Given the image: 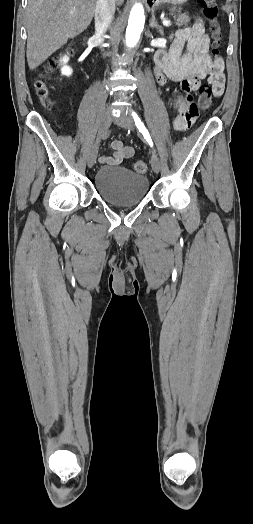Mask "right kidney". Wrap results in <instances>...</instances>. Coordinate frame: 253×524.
Segmentation results:
<instances>
[{
  "label": "right kidney",
  "mask_w": 253,
  "mask_h": 524,
  "mask_svg": "<svg viewBox=\"0 0 253 524\" xmlns=\"http://www.w3.org/2000/svg\"><path fill=\"white\" fill-rule=\"evenodd\" d=\"M68 60L69 58L65 56L62 61L63 63H67ZM61 72L63 75L70 76L72 74V69L68 66H63Z\"/></svg>",
  "instance_id": "right-kidney-1"
}]
</instances>
